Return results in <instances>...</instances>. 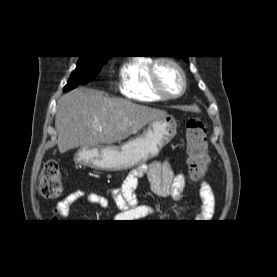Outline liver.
<instances>
[{
	"label": "liver",
	"instance_id": "1",
	"mask_svg": "<svg viewBox=\"0 0 277 277\" xmlns=\"http://www.w3.org/2000/svg\"><path fill=\"white\" fill-rule=\"evenodd\" d=\"M166 115L163 110L109 98L101 91L78 88L63 95L58 102L55 117L58 149L65 153L79 146L111 145Z\"/></svg>",
	"mask_w": 277,
	"mask_h": 277
}]
</instances>
